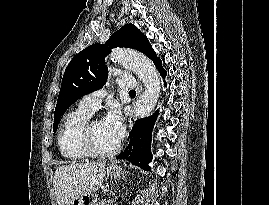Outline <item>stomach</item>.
Masks as SVG:
<instances>
[{
    "label": "stomach",
    "mask_w": 269,
    "mask_h": 205,
    "mask_svg": "<svg viewBox=\"0 0 269 205\" xmlns=\"http://www.w3.org/2000/svg\"><path fill=\"white\" fill-rule=\"evenodd\" d=\"M121 169L114 163L106 168V175L111 179L120 176ZM70 205H96L95 199L91 194H83L72 201Z\"/></svg>",
    "instance_id": "obj_1"
}]
</instances>
